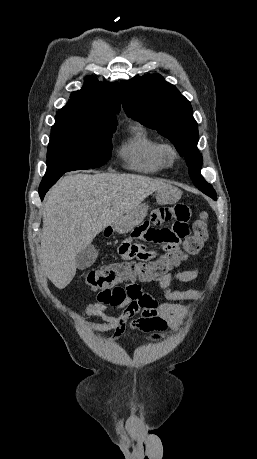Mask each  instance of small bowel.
Here are the masks:
<instances>
[{"mask_svg": "<svg viewBox=\"0 0 257 459\" xmlns=\"http://www.w3.org/2000/svg\"><path fill=\"white\" fill-rule=\"evenodd\" d=\"M151 223H138L130 230L126 239H119L115 256L118 264H147L157 261L158 251H182L188 236H196V227H189L192 220L191 205L183 200H175L173 205H153ZM157 247V249H155ZM183 262L176 263L177 266ZM199 269L169 272L159 278V285L168 302L158 301L142 290L134 281L126 287L102 289L97 301L90 303L83 316L98 318L99 322H86L89 330L112 331V340L120 338L127 327L151 333L157 340L167 328H178L188 316L190 305L184 301L200 297L195 288L174 290V283H188L197 279ZM120 310L119 315H111V309ZM137 316V317H136Z\"/></svg>", "mask_w": 257, "mask_h": 459, "instance_id": "small-bowel-1", "label": "small bowel"}]
</instances>
